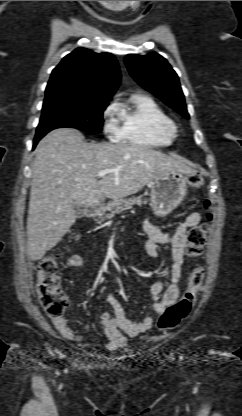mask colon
Listing matches in <instances>:
<instances>
[{"instance_id":"obj_1","label":"colon","mask_w":242,"mask_h":416,"mask_svg":"<svg viewBox=\"0 0 242 416\" xmlns=\"http://www.w3.org/2000/svg\"><path fill=\"white\" fill-rule=\"evenodd\" d=\"M188 180L193 187H199L202 184V177L198 174L191 175ZM205 208H209L208 201L205 202ZM208 218H211L210 214ZM207 231L206 223L196 224L189 231L187 254L193 260L199 259L203 254ZM203 276V269L199 265H195L190 272L187 287L180 299L166 307L160 315L158 320L160 330L174 328L189 315L202 288ZM36 292L39 303L48 316L62 317L67 306V298L59 281L58 256L56 254H48L39 260Z\"/></svg>"}]
</instances>
